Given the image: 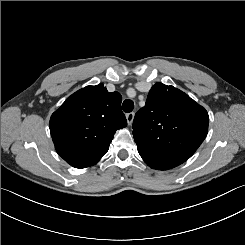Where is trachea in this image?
<instances>
[{"label":"trachea","mask_w":245,"mask_h":245,"mask_svg":"<svg viewBox=\"0 0 245 245\" xmlns=\"http://www.w3.org/2000/svg\"><path fill=\"white\" fill-rule=\"evenodd\" d=\"M122 108L124 112H131L134 109V102L130 99H127L123 102Z\"/></svg>","instance_id":"3493384b"}]
</instances>
